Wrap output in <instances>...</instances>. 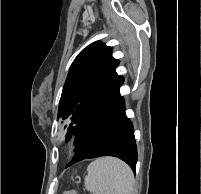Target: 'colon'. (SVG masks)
Returning a JSON list of instances; mask_svg holds the SVG:
<instances>
[{"label":"colon","mask_w":201,"mask_h":194,"mask_svg":"<svg viewBox=\"0 0 201 194\" xmlns=\"http://www.w3.org/2000/svg\"><path fill=\"white\" fill-rule=\"evenodd\" d=\"M66 194H75L74 191H68Z\"/></svg>","instance_id":"5ec220e1"}]
</instances>
